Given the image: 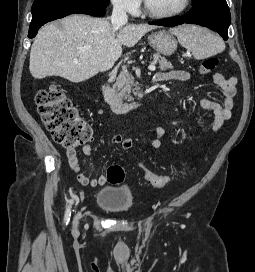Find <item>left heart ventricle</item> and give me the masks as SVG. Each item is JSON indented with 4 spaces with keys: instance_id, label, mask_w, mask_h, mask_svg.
<instances>
[{
    "instance_id": "obj_1",
    "label": "left heart ventricle",
    "mask_w": 255,
    "mask_h": 272,
    "mask_svg": "<svg viewBox=\"0 0 255 272\" xmlns=\"http://www.w3.org/2000/svg\"><path fill=\"white\" fill-rule=\"evenodd\" d=\"M146 2L152 11L162 13L180 8L184 0H146Z\"/></svg>"
}]
</instances>
